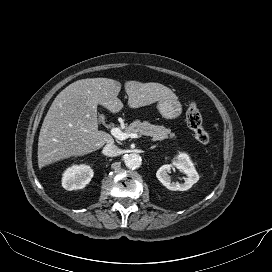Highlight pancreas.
<instances>
[{
	"instance_id": "pancreas-1",
	"label": "pancreas",
	"mask_w": 272,
	"mask_h": 272,
	"mask_svg": "<svg viewBox=\"0 0 272 272\" xmlns=\"http://www.w3.org/2000/svg\"><path fill=\"white\" fill-rule=\"evenodd\" d=\"M126 131L128 133H139L140 135L151 136L153 140L175 139L176 135L164 126L152 125L149 122L139 120L131 123Z\"/></svg>"
}]
</instances>
